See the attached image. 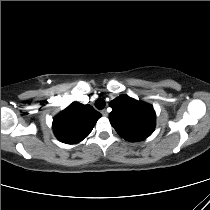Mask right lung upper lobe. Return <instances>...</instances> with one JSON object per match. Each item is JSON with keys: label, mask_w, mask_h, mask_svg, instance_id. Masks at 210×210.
I'll return each instance as SVG.
<instances>
[{"label": "right lung upper lobe", "mask_w": 210, "mask_h": 210, "mask_svg": "<svg viewBox=\"0 0 210 210\" xmlns=\"http://www.w3.org/2000/svg\"><path fill=\"white\" fill-rule=\"evenodd\" d=\"M100 117L92 106L73 102L54 118V134L63 143H79L89 135Z\"/></svg>", "instance_id": "right-lung-upper-lobe-1"}]
</instances>
